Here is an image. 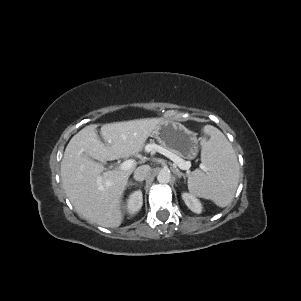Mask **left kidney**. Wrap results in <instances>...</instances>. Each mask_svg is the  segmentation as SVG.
I'll list each match as a JSON object with an SVG mask.
<instances>
[{
  "instance_id": "left-kidney-1",
  "label": "left kidney",
  "mask_w": 301,
  "mask_h": 301,
  "mask_svg": "<svg viewBox=\"0 0 301 301\" xmlns=\"http://www.w3.org/2000/svg\"><path fill=\"white\" fill-rule=\"evenodd\" d=\"M182 198H183L185 204L187 205V207L191 211H193L194 213H197V214L201 213L202 205H201L200 201L193 194L183 193Z\"/></svg>"
}]
</instances>
